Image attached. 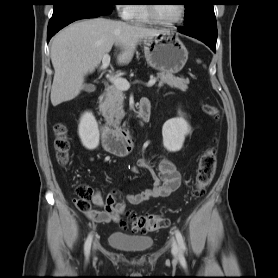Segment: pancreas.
<instances>
[{"mask_svg": "<svg viewBox=\"0 0 278 278\" xmlns=\"http://www.w3.org/2000/svg\"><path fill=\"white\" fill-rule=\"evenodd\" d=\"M160 78L158 86L161 87L163 84H167L172 88H177L182 91L188 89L189 79L183 77H175L169 73H159ZM123 90L113 86H109L101 102V111L108 123L116 124L124 117L123 102H124ZM114 118L116 121H114Z\"/></svg>", "mask_w": 278, "mask_h": 278, "instance_id": "obj_1", "label": "pancreas"}]
</instances>
